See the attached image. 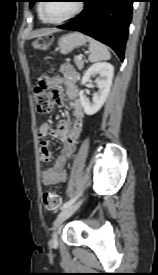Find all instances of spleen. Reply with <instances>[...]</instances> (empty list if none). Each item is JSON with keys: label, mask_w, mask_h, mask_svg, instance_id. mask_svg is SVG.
<instances>
[{"label": "spleen", "mask_w": 158, "mask_h": 275, "mask_svg": "<svg viewBox=\"0 0 158 275\" xmlns=\"http://www.w3.org/2000/svg\"><path fill=\"white\" fill-rule=\"evenodd\" d=\"M87 40L89 42V51H90L89 61L90 62L108 60L111 58L110 52L105 45H103L102 43H100L99 41L91 37H87Z\"/></svg>", "instance_id": "1"}]
</instances>
